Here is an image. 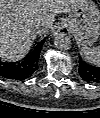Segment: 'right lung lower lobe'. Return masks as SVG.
<instances>
[{"instance_id":"obj_1","label":"right lung lower lobe","mask_w":100,"mask_h":118,"mask_svg":"<svg viewBox=\"0 0 100 118\" xmlns=\"http://www.w3.org/2000/svg\"><path fill=\"white\" fill-rule=\"evenodd\" d=\"M44 40L37 44L33 52L19 62H1L0 75L7 79L24 80L38 69V60Z\"/></svg>"}]
</instances>
